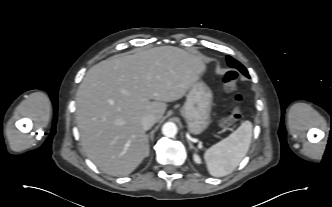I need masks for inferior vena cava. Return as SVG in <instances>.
I'll list each match as a JSON object with an SVG mask.
<instances>
[{"mask_svg": "<svg viewBox=\"0 0 332 207\" xmlns=\"http://www.w3.org/2000/svg\"><path fill=\"white\" fill-rule=\"evenodd\" d=\"M155 122H156L155 117L150 114L144 116L141 120L142 127L145 130H149L155 124Z\"/></svg>", "mask_w": 332, "mask_h": 207, "instance_id": "obj_1", "label": "inferior vena cava"}]
</instances>
